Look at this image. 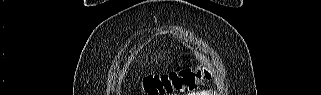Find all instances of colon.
Here are the masks:
<instances>
[{"label": "colon", "mask_w": 321, "mask_h": 95, "mask_svg": "<svg viewBox=\"0 0 321 95\" xmlns=\"http://www.w3.org/2000/svg\"><path fill=\"white\" fill-rule=\"evenodd\" d=\"M210 77L207 68H200L196 72H184L164 76H149L143 81L146 94L161 95L192 91Z\"/></svg>", "instance_id": "obj_1"}]
</instances>
